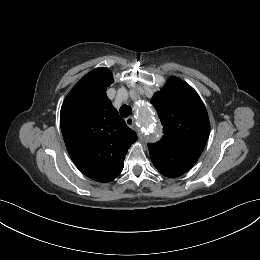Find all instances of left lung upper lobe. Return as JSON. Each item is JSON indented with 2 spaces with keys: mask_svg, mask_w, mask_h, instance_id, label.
Segmentation results:
<instances>
[{
  "mask_svg": "<svg viewBox=\"0 0 260 260\" xmlns=\"http://www.w3.org/2000/svg\"><path fill=\"white\" fill-rule=\"evenodd\" d=\"M151 103L164 126L162 139L148 145L151 161L162 175L179 177L194 166L208 140L207 110L197 92L177 77H170Z\"/></svg>",
  "mask_w": 260,
  "mask_h": 260,
  "instance_id": "1",
  "label": "left lung upper lobe"
}]
</instances>
